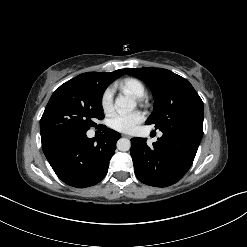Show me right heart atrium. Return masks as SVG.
I'll return each mask as SVG.
<instances>
[{
  "label": "right heart atrium",
  "instance_id": "d8ad5b80",
  "mask_svg": "<svg viewBox=\"0 0 247 247\" xmlns=\"http://www.w3.org/2000/svg\"><path fill=\"white\" fill-rule=\"evenodd\" d=\"M101 107L105 113H110L113 109V93L107 89L101 97Z\"/></svg>",
  "mask_w": 247,
  "mask_h": 247
}]
</instances>
